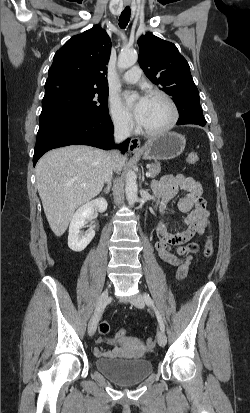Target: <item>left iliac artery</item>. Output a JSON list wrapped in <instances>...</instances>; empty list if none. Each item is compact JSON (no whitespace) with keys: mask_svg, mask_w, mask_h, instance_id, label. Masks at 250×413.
Instances as JSON below:
<instances>
[{"mask_svg":"<svg viewBox=\"0 0 250 413\" xmlns=\"http://www.w3.org/2000/svg\"><path fill=\"white\" fill-rule=\"evenodd\" d=\"M144 299H145V302L153 308V310L156 314L157 320L159 322L160 329L162 331H165V326H164L162 317H161L159 311L157 310V308L155 307V304H154L153 300L151 299V297L149 296V294L144 293Z\"/></svg>","mask_w":250,"mask_h":413,"instance_id":"1","label":"left iliac artery"}]
</instances>
